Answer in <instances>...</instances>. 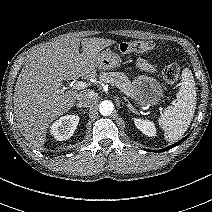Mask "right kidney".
<instances>
[{
  "label": "right kidney",
  "instance_id": "1",
  "mask_svg": "<svg viewBox=\"0 0 212 212\" xmlns=\"http://www.w3.org/2000/svg\"><path fill=\"white\" fill-rule=\"evenodd\" d=\"M79 123V116L77 115H66L56 120L50 127L51 134L54 138L59 141L69 139Z\"/></svg>",
  "mask_w": 212,
  "mask_h": 212
}]
</instances>
